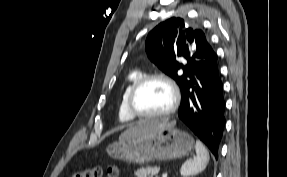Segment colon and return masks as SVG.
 <instances>
[{
	"label": "colon",
	"instance_id": "colon-1",
	"mask_svg": "<svg viewBox=\"0 0 287 177\" xmlns=\"http://www.w3.org/2000/svg\"><path fill=\"white\" fill-rule=\"evenodd\" d=\"M70 177H118L116 167H102L99 165L74 171Z\"/></svg>",
	"mask_w": 287,
	"mask_h": 177
}]
</instances>
